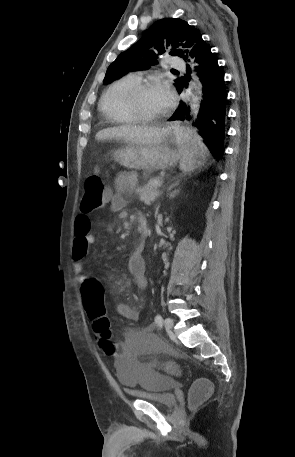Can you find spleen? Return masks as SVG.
Instances as JSON below:
<instances>
[{
  "mask_svg": "<svg viewBox=\"0 0 295 457\" xmlns=\"http://www.w3.org/2000/svg\"><path fill=\"white\" fill-rule=\"evenodd\" d=\"M179 145L180 169L190 172L203 164L208 155L201 138L181 127H174Z\"/></svg>",
  "mask_w": 295,
  "mask_h": 457,
  "instance_id": "obj_1",
  "label": "spleen"
}]
</instances>
